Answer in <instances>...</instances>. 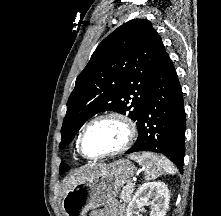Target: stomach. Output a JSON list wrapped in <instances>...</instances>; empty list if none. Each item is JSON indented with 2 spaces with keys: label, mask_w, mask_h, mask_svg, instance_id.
<instances>
[{
  "label": "stomach",
  "mask_w": 221,
  "mask_h": 216,
  "mask_svg": "<svg viewBox=\"0 0 221 216\" xmlns=\"http://www.w3.org/2000/svg\"><path fill=\"white\" fill-rule=\"evenodd\" d=\"M134 174L135 166L129 160L98 166L66 193L62 201L65 216H86L89 210L108 204Z\"/></svg>",
  "instance_id": "stomach-1"
}]
</instances>
